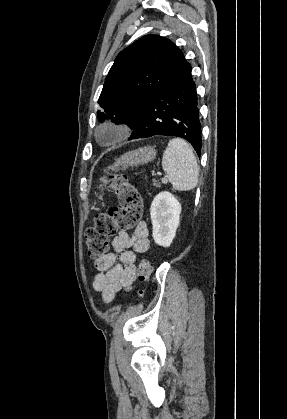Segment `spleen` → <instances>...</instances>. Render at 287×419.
I'll list each match as a JSON object with an SVG mask.
<instances>
[{
	"label": "spleen",
	"mask_w": 287,
	"mask_h": 419,
	"mask_svg": "<svg viewBox=\"0 0 287 419\" xmlns=\"http://www.w3.org/2000/svg\"><path fill=\"white\" fill-rule=\"evenodd\" d=\"M162 167L175 190L189 191L197 186V160L191 146L183 139L173 138L169 141L163 154Z\"/></svg>",
	"instance_id": "spleen-1"
}]
</instances>
